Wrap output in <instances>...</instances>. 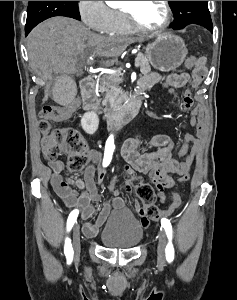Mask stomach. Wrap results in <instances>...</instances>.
<instances>
[{
    "label": "stomach",
    "mask_w": 237,
    "mask_h": 300,
    "mask_svg": "<svg viewBox=\"0 0 237 300\" xmlns=\"http://www.w3.org/2000/svg\"><path fill=\"white\" fill-rule=\"evenodd\" d=\"M183 39L173 33H161L146 47V57L158 71H175L185 61L188 53Z\"/></svg>",
    "instance_id": "obj_1"
}]
</instances>
